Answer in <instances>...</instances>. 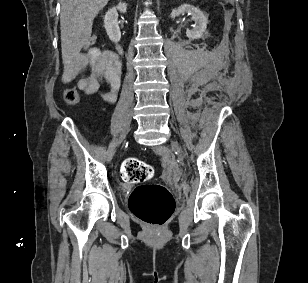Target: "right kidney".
Returning a JSON list of instances; mask_svg holds the SVG:
<instances>
[{"instance_id": "right-kidney-1", "label": "right kidney", "mask_w": 308, "mask_h": 283, "mask_svg": "<svg viewBox=\"0 0 308 283\" xmlns=\"http://www.w3.org/2000/svg\"><path fill=\"white\" fill-rule=\"evenodd\" d=\"M118 11L125 13L127 4L119 2L117 6L110 8L104 16V27L109 39L113 42H119L121 39V31L118 25Z\"/></svg>"}]
</instances>
